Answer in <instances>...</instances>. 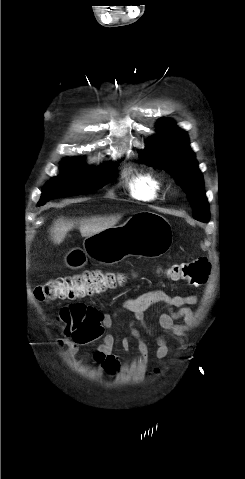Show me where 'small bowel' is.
I'll list each match as a JSON object with an SVG mask.
<instances>
[{
    "label": "small bowel",
    "mask_w": 245,
    "mask_h": 479,
    "mask_svg": "<svg viewBox=\"0 0 245 479\" xmlns=\"http://www.w3.org/2000/svg\"><path fill=\"white\" fill-rule=\"evenodd\" d=\"M197 302L198 297L195 294L171 295L162 289H155L137 297L126 299L114 313L101 312L96 307L87 306V322L82 334L86 337L95 336L102 339L103 342L95 351L94 358L101 364L105 374L113 375L119 368V360L112 353L116 340L108 330L112 327L114 320L119 314L126 313L130 315L126 333L137 342L141 362L146 364L149 359V346L142 338L141 332L136 325H139L148 335L155 338L157 345L156 357L158 360H162L168 355L167 340L162 334L148 326L145 316L146 311L162 304L164 310L158 312L159 325L163 330L175 334L180 330V327L177 325L178 321H183L186 324L193 322V313L189 306L195 305ZM129 336L123 337L120 341V346L125 352H128L130 349ZM57 344L59 347L68 344V357H73L78 351V346L75 343H66L63 340H59Z\"/></svg>",
    "instance_id": "c3829d8e"
}]
</instances>
